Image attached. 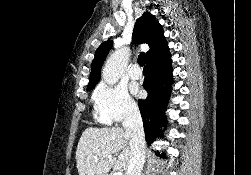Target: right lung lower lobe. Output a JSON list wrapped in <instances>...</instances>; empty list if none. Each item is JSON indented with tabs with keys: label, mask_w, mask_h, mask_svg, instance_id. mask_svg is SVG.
<instances>
[{
	"label": "right lung lower lobe",
	"mask_w": 251,
	"mask_h": 175,
	"mask_svg": "<svg viewBox=\"0 0 251 175\" xmlns=\"http://www.w3.org/2000/svg\"><path fill=\"white\" fill-rule=\"evenodd\" d=\"M171 70L169 54L158 62L146 64L143 71L145 75L143 86L148 92V96L144 100L140 99L138 103L146 141L149 145L162 133L159 127L166 126V119L162 111L165 110L170 96L169 84L173 81Z\"/></svg>",
	"instance_id": "right-lung-lower-lobe-1"
}]
</instances>
